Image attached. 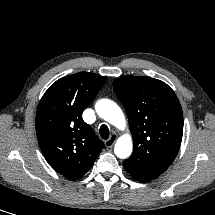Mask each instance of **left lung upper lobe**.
Listing matches in <instances>:
<instances>
[{"instance_id": "left-lung-upper-lobe-1", "label": "left lung upper lobe", "mask_w": 215, "mask_h": 215, "mask_svg": "<svg viewBox=\"0 0 215 215\" xmlns=\"http://www.w3.org/2000/svg\"><path fill=\"white\" fill-rule=\"evenodd\" d=\"M114 91L126 108L133 137L124 168L137 181L160 176L174 161L182 141L183 113L174 91L147 76L121 77Z\"/></svg>"}]
</instances>
